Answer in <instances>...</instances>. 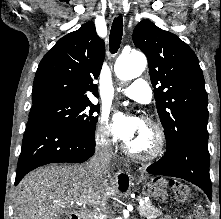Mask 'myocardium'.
<instances>
[{"mask_svg":"<svg viewBox=\"0 0 221 219\" xmlns=\"http://www.w3.org/2000/svg\"><path fill=\"white\" fill-rule=\"evenodd\" d=\"M143 123L153 134L152 147L147 152H137L127 142H124L122 148L123 152L131 158L141 161H151L163 154L166 147V136L163 128L155 121L146 119Z\"/></svg>","mask_w":221,"mask_h":219,"instance_id":"f54148a6","label":"myocardium"}]
</instances>
